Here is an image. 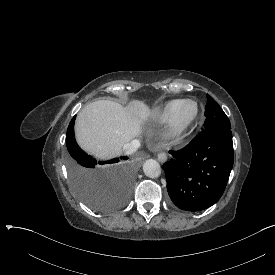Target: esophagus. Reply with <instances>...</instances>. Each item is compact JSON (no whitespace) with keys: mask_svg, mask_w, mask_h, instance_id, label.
<instances>
[{"mask_svg":"<svg viewBox=\"0 0 275 275\" xmlns=\"http://www.w3.org/2000/svg\"><path fill=\"white\" fill-rule=\"evenodd\" d=\"M143 157L144 158H147V155L146 154H143ZM158 160L159 161H166L167 160V155L165 153H160L158 154Z\"/></svg>","mask_w":275,"mask_h":275,"instance_id":"1","label":"esophagus"}]
</instances>
